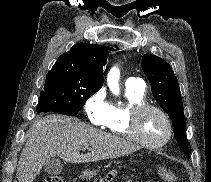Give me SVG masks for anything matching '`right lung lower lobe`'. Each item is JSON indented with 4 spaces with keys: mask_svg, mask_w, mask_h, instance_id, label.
I'll list each match as a JSON object with an SVG mask.
<instances>
[{
    "mask_svg": "<svg viewBox=\"0 0 211 182\" xmlns=\"http://www.w3.org/2000/svg\"><path fill=\"white\" fill-rule=\"evenodd\" d=\"M45 112H55V113L67 115L52 100L39 101L38 114L45 113Z\"/></svg>",
    "mask_w": 211,
    "mask_h": 182,
    "instance_id": "right-lung-lower-lobe-1",
    "label": "right lung lower lobe"
}]
</instances>
